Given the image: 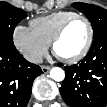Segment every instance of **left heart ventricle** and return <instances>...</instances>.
I'll return each mask as SVG.
<instances>
[{
  "mask_svg": "<svg viewBox=\"0 0 107 107\" xmlns=\"http://www.w3.org/2000/svg\"><path fill=\"white\" fill-rule=\"evenodd\" d=\"M88 39V27L83 20H74L56 45V54L61 58L77 55Z\"/></svg>",
  "mask_w": 107,
  "mask_h": 107,
  "instance_id": "b2bd125f",
  "label": "left heart ventricle"
}]
</instances>
